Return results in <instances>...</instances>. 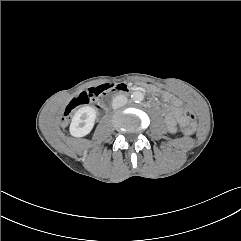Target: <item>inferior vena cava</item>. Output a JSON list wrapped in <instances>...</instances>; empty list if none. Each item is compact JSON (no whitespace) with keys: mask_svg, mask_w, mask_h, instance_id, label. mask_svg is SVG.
<instances>
[{"mask_svg":"<svg viewBox=\"0 0 241 241\" xmlns=\"http://www.w3.org/2000/svg\"><path fill=\"white\" fill-rule=\"evenodd\" d=\"M127 97L124 95H118L113 99L112 107L114 109L120 108L127 103Z\"/></svg>","mask_w":241,"mask_h":241,"instance_id":"inferior-vena-cava-1","label":"inferior vena cava"}]
</instances>
